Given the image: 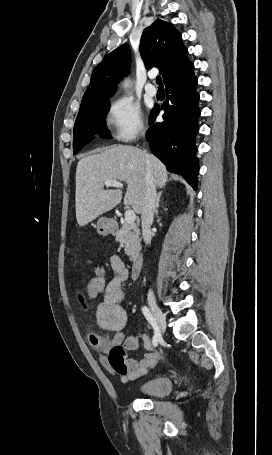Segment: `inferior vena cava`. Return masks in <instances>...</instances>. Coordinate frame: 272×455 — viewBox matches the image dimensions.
<instances>
[{
    "instance_id": "1",
    "label": "inferior vena cava",
    "mask_w": 272,
    "mask_h": 455,
    "mask_svg": "<svg viewBox=\"0 0 272 455\" xmlns=\"http://www.w3.org/2000/svg\"><path fill=\"white\" fill-rule=\"evenodd\" d=\"M156 200H157L156 183L153 173L148 164L145 174V195L141 211L142 234L144 242L146 244H150L152 239L151 225L154 219ZM148 295L153 296V292L150 290Z\"/></svg>"
}]
</instances>
